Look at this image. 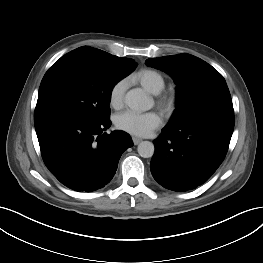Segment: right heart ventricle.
<instances>
[{"mask_svg":"<svg viewBox=\"0 0 263 263\" xmlns=\"http://www.w3.org/2000/svg\"><path fill=\"white\" fill-rule=\"evenodd\" d=\"M132 80L152 94L160 93L165 87V79L161 73L153 69H141L132 76Z\"/></svg>","mask_w":263,"mask_h":263,"instance_id":"1","label":"right heart ventricle"}]
</instances>
